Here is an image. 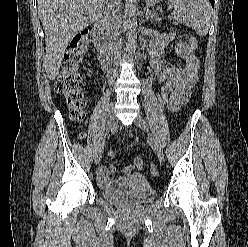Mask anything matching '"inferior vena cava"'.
<instances>
[{"instance_id": "obj_1", "label": "inferior vena cava", "mask_w": 248, "mask_h": 247, "mask_svg": "<svg viewBox=\"0 0 248 247\" xmlns=\"http://www.w3.org/2000/svg\"><path fill=\"white\" fill-rule=\"evenodd\" d=\"M104 23L106 32L110 37L111 58L116 61L121 59L122 42H121V25L122 14L120 10V0H107L104 8Z\"/></svg>"}]
</instances>
